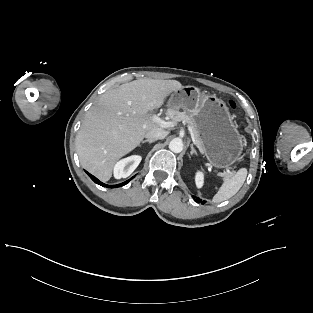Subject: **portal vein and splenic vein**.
<instances>
[{
	"mask_svg": "<svg viewBox=\"0 0 313 313\" xmlns=\"http://www.w3.org/2000/svg\"><path fill=\"white\" fill-rule=\"evenodd\" d=\"M152 121L154 123H157L161 128H171V127H174L176 125V122L175 121H164L162 120L161 118L153 115L152 117ZM227 173H230V171L227 170ZM220 176H224L225 173H222V172H219L218 173Z\"/></svg>",
	"mask_w": 313,
	"mask_h": 313,
	"instance_id": "obj_1",
	"label": "portal vein and splenic vein"
}]
</instances>
